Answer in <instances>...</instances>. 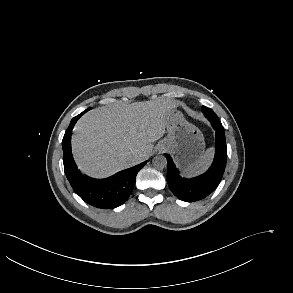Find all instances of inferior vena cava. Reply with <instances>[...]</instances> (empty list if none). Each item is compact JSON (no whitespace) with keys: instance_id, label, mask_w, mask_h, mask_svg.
<instances>
[{"instance_id":"602c4592","label":"inferior vena cava","mask_w":293,"mask_h":293,"mask_svg":"<svg viewBox=\"0 0 293 293\" xmlns=\"http://www.w3.org/2000/svg\"><path fill=\"white\" fill-rule=\"evenodd\" d=\"M140 156L138 154L134 155L135 160H139Z\"/></svg>"}]
</instances>
